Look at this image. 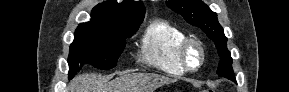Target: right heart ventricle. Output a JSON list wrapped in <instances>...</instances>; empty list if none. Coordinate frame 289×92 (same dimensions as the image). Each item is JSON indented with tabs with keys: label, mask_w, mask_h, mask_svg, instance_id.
I'll list each match as a JSON object with an SVG mask.
<instances>
[{
	"label": "right heart ventricle",
	"mask_w": 289,
	"mask_h": 92,
	"mask_svg": "<svg viewBox=\"0 0 289 92\" xmlns=\"http://www.w3.org/2000/svg\"><path fill=\"white\" fill-rule=\"evenodd\" d=\"M187 38L179 27L165 20H155L145 30L139 52L142 62L169 75H183L179 49Z\"/></svg>",
	"instance_id": "obj_1"
}]
</instances>
